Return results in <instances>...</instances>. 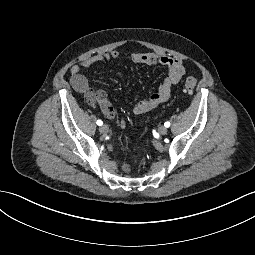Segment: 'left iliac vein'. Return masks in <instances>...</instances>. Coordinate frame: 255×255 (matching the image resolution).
Segmentation results:
<instances>
[{
    "label": "left iliac vein",
    "instance_id": "4c4485c4",
    "mask_svg": "<svg viewBox=\"0 0 255 255\" xmlns=\"http://www.w3.org/2000/svg\"><path fill=\"white\" fill-rule=\"evenodd\" d=\"M158 132H159V134H161V135H165V134H167L168 129H167L166 127H164V126H160V127L158 128Z\"/></svg>",
    "mask_w": 255,
    "mask_h": 255
}]
</instances>
